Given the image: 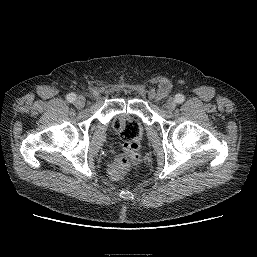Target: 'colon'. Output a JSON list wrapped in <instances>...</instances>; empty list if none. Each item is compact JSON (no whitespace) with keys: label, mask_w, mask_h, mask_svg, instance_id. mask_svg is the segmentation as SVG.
Instances as JSON below:
<instances>
[{"label":"colon","mask_w":257,"mask_h":257,"mask_svg":"<svg viewBox=\"0 0 257 257\" xmlns=\"http://www.w3.org/2000/svg\"><path fill=\"white\" fill-rule=\"evenodd\" d=\"M113 128L124 141L123 152L110 167V174L115 178H119L132 163L139 162L142 159L143 155L138 146L140 126L138 122L125 118L123 115H118L113 121Z\"/></svg>","instance_id":"colon-1"}]
</instances>
